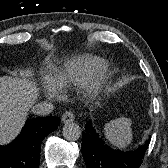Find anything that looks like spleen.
Segmentation results:
<instances>
[{
    "mask_svg": "<svg viewBox=\"0 0 168 168\" xmlns=\"http://www.w3.org/2000/svg\"><path fill=\"white\" fill-rule=\"evenodd\" d=\"M105 137L109 143L117 148L124 149L132 141L131 120L119 118L105 124Z\"/></svg>",
    "mask_w": 168,
    "mask_h": 168,
    "instance_id": "spleen-1",
    "label": "spleen"
}]
</instances>
